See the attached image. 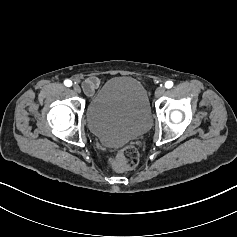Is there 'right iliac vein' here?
Masks as SVG:
<instances>
[{"label": "right iliac vein", "instance_id": "63e3f726", "mask_svg": "<svg viewBox=\"0 0 237 237\" xmlns=\"http://www.w3.org/2000/svg\"><path fill=\"white\" fill-rule=\"evenodd\" d=\"M73 90H74L76 93H81V88L79 87V85H74V86H73Z\"/></svg>", "mask_w": 237, "mask_h": 237}]
</instances>
